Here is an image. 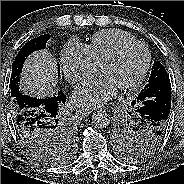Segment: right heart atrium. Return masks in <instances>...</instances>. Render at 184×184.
<instances>
[{"mask_svg": "<svg viewBox=\"0 0 184 184\" xmlns=\"http://www.w3.org/2000/svg\"><path fill=\"white\" fill-rule=\"evenodd\" d=\"M60 63L66 78L71 83L80 81L97 69L88 46L77 39H71L64 45L60 54Z\"/></svg>", "mask_w": 184, "mask_h": 184, "instance_id": "d8ad5b80", "label": "right heart atrium"}]
</instances>
